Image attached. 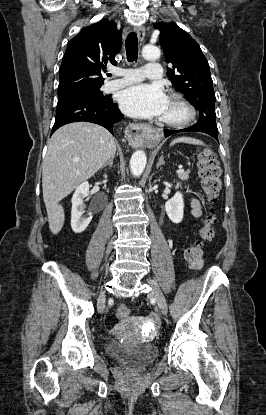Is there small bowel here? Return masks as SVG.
<instances>
[{"label": "small bowel", "mask_w": 266, "mask_h": 415, "mask_svg": "<svg viewBox=\"0 0 266 415\" xmlns=\"http://www.w3.org/2000/svg\"><path fill=\"white\" fill-rule=\"evenodd\" d=\"M190 206H191L192 215L195 218H199L202 215V208H201L200 201L197 198L192 197L191 202H190Z\"/></svg>", "instance_id": "obj_1"}]
</instances>
